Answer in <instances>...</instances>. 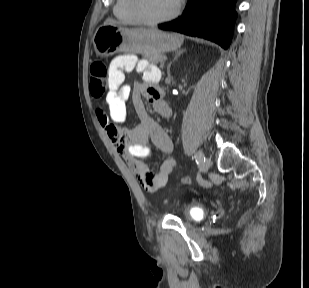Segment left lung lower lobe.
I'll return each instance as SVG.
<instances>
[{"mask_svg": "<svg viewBox=\"0 0 309 288\" xmlns=\"http://www.w3.org/2000/svg\"><path fill=\"white\" fill-rule=\"evenodd\" d=\"M235 3L236 0H188L181 17L158 27L206 38L227 49L236 18Z\"/></svg>", "mask_w": 309, "mask_h": 288, "instance_id": "0a47b994", "label": "left lung lower lobe"}]
</instances>
